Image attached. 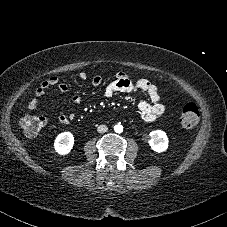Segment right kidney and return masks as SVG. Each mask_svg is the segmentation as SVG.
I'll use <instances>...</instances> for the list:
<instances>
[{
    "mask_svg": "<svg viewBox=\"0 0 227 227\" xmlns=\"http://www.w3.org/2000/svg\"><path fill=\"white\" fill-rule=\"evenodd\" d=\"M74 145V136L71 132L60 133L54 142L55 151L60 155L68 154Z\"/></svg>",
    "mask_w": 227,
    "mask_h": 227,
    "instance_id": "obj_1",
    "label": "right kidney"
}]
</instances>
